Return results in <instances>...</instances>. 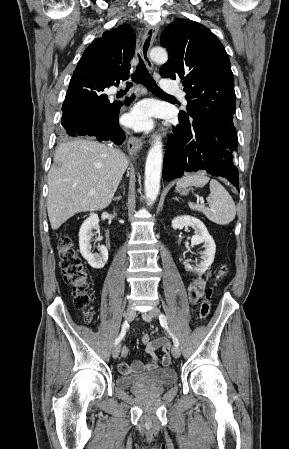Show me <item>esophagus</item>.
Wrapping results in <instances>:
<instances>
[{"label":"esophagus","instance_id":"obj_1","mask_svg":"<svg viewBox=\"0 0 289 449\" xmlns=\"http://www.w3.org/2000/svg\"><path fill=\"white\" fill-rule=\"evenodd\" d=\"M157 32L158 28L155 25H147L145 27L144 38L140 51L142 58L149 70L153 69V63L150 59L149 52L153 44V41L157 35ZM142 145H143L142 140L138 137L131 136L128 140V149L131 152L134 153L138 152L140 149H142Z\"/></svg>","mask_w":289,"mask_h":449}]
</instances>
